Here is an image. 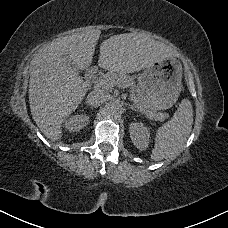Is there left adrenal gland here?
<instances>
[{"label": "left adrenal gland", "mask_w": 228, "mask_h": 228, "mask_svg": "<svg viewBox=\"0 0 228 228\" xmlns=\"http://www.w3.org/2000/svg\"><path fill=\"white\" fill-rule=\"evenodd\" d=\"M129 108H130L131 110H133V111H138V109H136V107L133 106V105H130Z\"/></svg>", "instance_id": "obj_1"}]
</instances>
